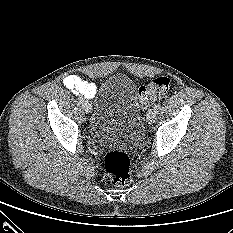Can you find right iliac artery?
Masks as SVG:
<instances>
[{"instance_id": "right-iliac-artery-1", "label": "right iliac artery", "mask_w": 233, "mask_h": 233, "mask_svg": "<svg viewBox=\"0 0 233 233\" xmlns=\"http://www.w3.org/2000/svg\"><path fill=\"white\" fill-rule=\"evenodd\" d=\"M78 102H79V103H83V102H84V99H83L82 97H79V98H78Z\"/></svg>"}]
</instances>
